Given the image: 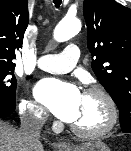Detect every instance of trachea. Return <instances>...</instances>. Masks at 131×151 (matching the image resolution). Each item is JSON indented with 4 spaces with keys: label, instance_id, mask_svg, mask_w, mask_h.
<instances>
[{
    "label": "trachea",
    "instance_id": "trachea-1",
    "mask_svg": "<svg viewBox=\"0 0 131 151\" xmlns=\"http://www.w3.org/2000/svg\"><path fill=\"white\" fill-rule=\"evenodd\" d=\"M62 0H53L56 7H59Z\"/></svg>",
    "mask_w": 131,
    "mask_h": 151
}]
</instances>
